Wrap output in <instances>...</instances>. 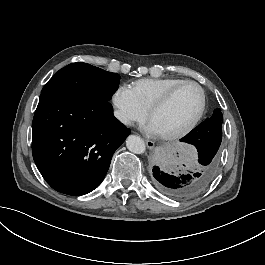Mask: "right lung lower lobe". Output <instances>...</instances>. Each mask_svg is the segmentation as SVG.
<instances>
[{"label":"right lung lower lobe","mask_w":265,"mask_h":265,"mask_svg":"<svg viewBox=\"0 0 265 265\" xmlns=\"http://www.w3.org/2000/svg\"><path fill=\"white\" fill-rule=\"evenodd\" d=\"M129 134L108 101L40 95L32 123L33 159L53 189L84 195L102 182Z\"/></svg>","instance_id":"right-lung-lower-lobe-1"}]
</instances>
